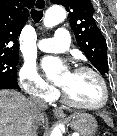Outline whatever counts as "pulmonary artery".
<instances>
[{"mask_svg": "<svg viewBox=\"0 0 117 136\" xmlns=\"http://www.w3.org/2000/svg\"><path fill=\"white\" fill-rule=\"evenodd\" d=\"M70 47L69 32L64 27H59L53 37L41 39L38 48L44 52H63Z\"/></svg>", "mask_w": 117, "mask_h": 136, "instance_id": "pulmonary-artery-1", "label": "pulmonary artery"}]
</instances>
